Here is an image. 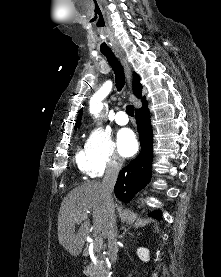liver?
Returning a JSON list of instances; mask_svg holds the SVG:
<instances>
[{"label": "liver", "instance_id": "obj_1", "mask_svg": "<svg viewBox=\"0 0 221 277\" xmlns=\"http://www.w3.org/2000/svg\"><path fill=\"white\" fill-rule=\"evenodd\" d=\"M91 211L94 232L102 233L106 237L109 211L100 182H88L74 188L61 203L58 214V241L72 256L76 257L86 242L90 229L87 219ZM83 217L87 218L75 233L77 220Z\"/></svg>", "mask_w": 221, "mask_h": 277}]
</instances>
